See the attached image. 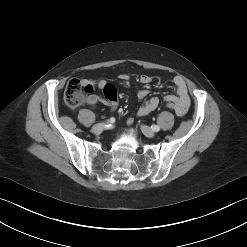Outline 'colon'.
I'll return each instance as SVG.
<instances>
[{
  "mask_svg": "<svg viewBox=\"0 0 247 247\" xmlns=\"http://www.w3.org/2000/svg\"><path fill=\"white\" fill-rule=\"evenodd\" d=\"M90 91V89L84 86L79 80H71L65 88L64 101L65 104L71 108L76 109L80 107L85 100V92ZM166 106L176 112V104L172 101H165Z\"/></svg>",
  "mask_w": 247,
  "mask_h": 247,
  "instance_id": "1",
  "label": "colon"
}]
</instances>
